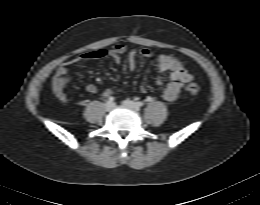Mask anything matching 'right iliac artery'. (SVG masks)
Returning <instances> with one entry per match:
<instances>
[{
  "instance_id": "1",
  "label": "right iliac artery",
  "mask_w": 260,
  "mask_h": 205,
  "mask_svg": "<svg viewBox=\"0 0 260 205\" xmlns=\"http://www.w3.org/2000/svg\"><path fill=\"white\" fill-rule=\"evenodd\" d=\"M114 101V98L113 97H109L108 98V102H113Z\"/></svg>"
}]
</instances>
